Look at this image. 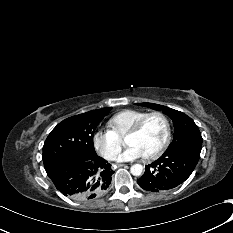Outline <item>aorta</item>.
<instances>
[{
    "instance_id": "762f6f07",
    "label": "aorta",
    "mask_w": 233,
    "mask_h": 233,
    "mask_svg": "<svg viewBox=\"0 0 233 233\" xmlns=\"http://www.w3.org/2000/svg\"><path fill=\"white\" fill-rule=\"evenodd\" d=\"M131 174L134 176H140L142 174L143 171V167L140 164H134L131 166Z\"/></svg>"
}]
</instances>
